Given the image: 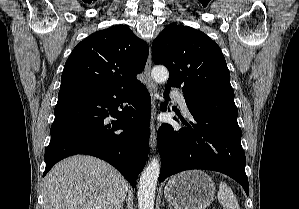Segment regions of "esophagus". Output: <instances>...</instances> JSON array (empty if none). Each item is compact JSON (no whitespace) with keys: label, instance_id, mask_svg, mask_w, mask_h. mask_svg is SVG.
<instances>
[{"label":"esophagus","instance_id":"1","mask_svg":"<svg viewBox=\"0 0 299 209\" xmlns=\"http://www.w3.org/2000/svg\"><path fill=\"white\" fill-rule=\"evenodd\" d=\"M151 64H152V58H151V49L149 50L148 59L144 68V75L146 80V86L149 90V93L151 95V121H150V140L149 144L151 147V150L154 151L156 147L157 137H156V127H155V119H156V91L157 87L156 84L153 82L151 78Z\"/></svg>","mask_w":299,"mask_h":209}]
</instances>
